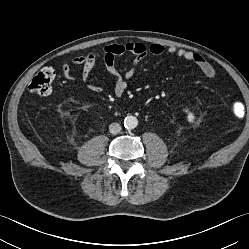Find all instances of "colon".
Segmentation results:
<instances>
[{
	"label": "colon",
	"mask_w": 249,
	"mask_h": 249,
	"mask_svg": "<svg viewBox=\"0 0 249 249\" xmlns=\"http://www.w3.org/2000/svg\"><path fill=\"white\" fill-rule=\"evenodd\" d=\"M54 79H55V70L51 67H45L34 76L29 85V90L34 94L40 96H46L50 94L52 90ZM243 111H244V106L242 103L240 102L233 103L232 112L236 117H240Z\"/></svg>",
	"instance_id": "5ec220e1"
}]
</instances>
